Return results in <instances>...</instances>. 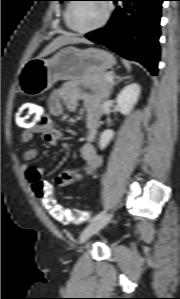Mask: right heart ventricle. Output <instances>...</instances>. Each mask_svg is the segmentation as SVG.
I'll return each instance as SVG.
<instances>
[{"label": "right heart ventricle", "mask_w": 180, "mask_h": 299, "mask_svg": "<svg viewBox=\"0 0 180 299\" xmlns=\"http://www.w3.org/2000/svg\"><path fill=\"white\" fill-rule=\"evenodd\" d=\"M70 5H71L70 2L67 3L66 6H65V8H64V11H63V19H64V23H65V25H66L68 28H70V27H69V24H68V12H69Z\"/></svg>", "instance_id": "right-heart-ventricle-1"}]
</instances>
